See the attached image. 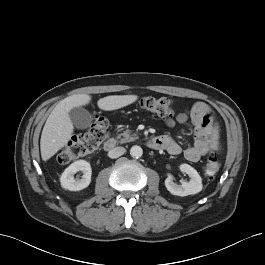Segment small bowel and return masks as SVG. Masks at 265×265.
<instances>
[{
  "mask_svg": "<svg viewBox=\"0 0 265 265\" xmlns=\"http://www.w3.org/2000/svg\"><path fill=\"white\" fill-rule=\"evenodd\" d=\"M188 119L192 121L194 127L193 144L182 150L172 136L163 135L159 136L164 141L163 149L171 155H179L183 152L184 157L191 162H197L207 154L218 153L221 150L220 129L213 109L205 102H196L186 112L167 119L166 124L172 127Z\"/></svg>",
  "mask_w": 265,
  "mask_h": 265,
  "instance_id": "small-bowel-1",
  "label": "small bowel"
}]
</instances>
